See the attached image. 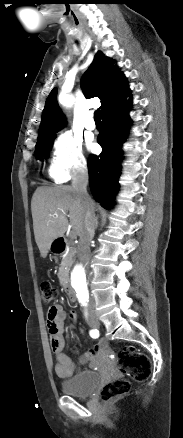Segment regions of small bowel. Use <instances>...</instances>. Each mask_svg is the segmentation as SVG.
Masks as SVG:
<instances>
[{
	"label": "small bowel",
	"instance_id": "c3829d8e",
	"mask_svg": "<svg viewBox=\"0 0 183 438\" xmlns=\"http://www.w3.org/2000/svg\"><path fill=\"white\" fill-rule=\"evenodd\" d=\"M66 313L61 306L54 305L49 308L47 313V328L50 336V345L56 358L55 373L62 379L71 377L76 371L77 367L69 356L64 352V323ZM71 319H75V314H71ZM105 347L103 342H100L93 348L89 349L81 357L80 363L95 358L99 352Z\"/></svg>",
	"mask_w": 183,
	"mask_h": 438
}]
</instances>
